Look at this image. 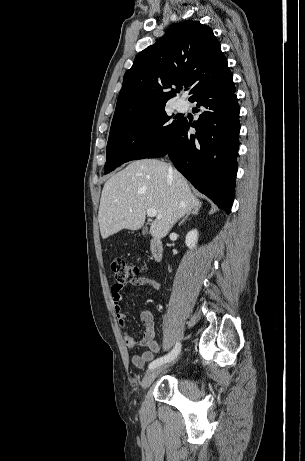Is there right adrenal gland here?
Masks as SVG:
<instances>
[{
	"mask_svg": "<svg viewBox=\"0 0 305 461\" xmlns=\"http://www.w3.org/2000/svg\"><path fill=\"white\" fill-rule=\"evenodd\" d=\"M199 211H200V207H196L188 212H186L185 216L182 218V220L179 222V226L182 225L186 220H188V218L190 216H193V215H198L199 214Z\"/></svg>",
	"mask_w": 305,
	"mask_h": 461,
	"instance_id": "right-adrenal-gland-1",
	"label": "right adrenal gland"
}]
</instances>
